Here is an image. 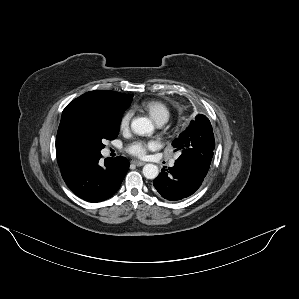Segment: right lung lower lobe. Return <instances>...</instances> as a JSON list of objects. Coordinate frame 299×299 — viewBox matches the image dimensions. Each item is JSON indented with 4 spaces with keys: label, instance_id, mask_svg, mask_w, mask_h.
<instances>
[{
    "label": "right lung lower lobe",
    "instance_id": "98d812e1",
    "mask_svg": "<svg viewBox=\"0 0 299 299\" xmlns=\"http://www.w3.org/2000/svg\"><path fill=\"white\" fill-rule=\"evenodd\" d=\"M100 153L80 156L61 168L62 177L78 197L89 202H100L111 197L120 187L128 169L124 157L107 158L100 162Z\"/></svg>",
    "mask_w": 299,
    "mask_h": 299
}]
</instances>
